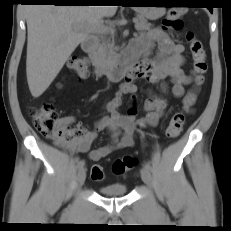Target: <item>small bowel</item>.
<instances>
[{
  "label": "small bowel",
  "mask_w": 231,
  "mask_h": 231,
  "mask_svg": "<svg viewBox=\"0 0 231 231\" xmlns=\"http://www.w3.org/2000/svg\"><path fill=\"white\" fill-rule=\"evenodd\" d=\"M154 49L156 55L151 58L150 54ZM132 50H138L142 58L126 75L125 82L121 86L120 93L130 94L132 100L127 115L119 114L121 99L117 96L108 103L106 111L96 121L94 130L86 132L83 137L70 145L71 150L75 152L88 153L92 161H99L116 150L134 146L135 133L146 124L156 125L164 116L168 94L175 98H183L186 109L194 103V91L185 92V86L191 84L192 77L183 70L185 47L182 44L175 43L163 29L155 28L144 33L135 42ZM136 80H144L159 86L158 91L149 90V97L144 103L147 114L142 120H136L137 86L134 84ZM166 81L170 82V87ZM60 121L69 126L74 122V118L67 116ZM102 130L108 131L110 143L91 150L92 142Z\"/></svg>",
  "instance_id": "obj_1"
}]
</instances>
